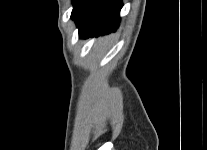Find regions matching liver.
Masks as SVG:
<instances>
[{"instance_id": "obj_1", "label": "liver", "mask_w": 207, "mask_h": 150, "mask_svg": "<svg viewBox=\"0 0 207 150\" xmlns=\"http://www.w3.org/2000/svg\"><path fill=\"white\" fill-rule=\"evenodd\" d=\"M81 107L90 115H94L100 111V100L97 91L86 90L82 96Z\"/></svg>"}]
</instances>
